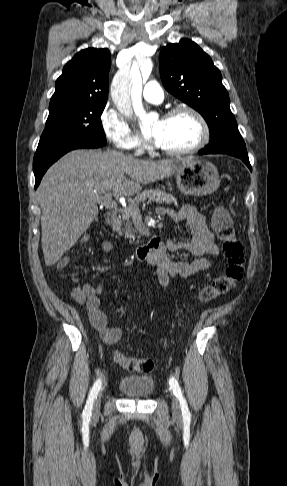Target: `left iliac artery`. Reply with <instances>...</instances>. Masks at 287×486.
<instances>
[{
    "label": "left iliac artery",
    "instance_id": "44dca946",
    "mask_svg": "<svg viewBox=\"0 0 287 486\" xmlns=\"http://www.w3.org/2000/svg\"><path fill=\"white\" fill-rule=\"evenodd\" d=\"M169 384H170V388L173 390V393L176 395V397L180 401V407H181V410H182L183 417H185V418L190 417L189 408H188L187 402H186V400L183 396V393H182V390H181V387H180L178 381L174 377H171L170 380H169Z\"/></svg>",
    "mask_w": 287,
    "mask_h": 486
}]
</instances>
